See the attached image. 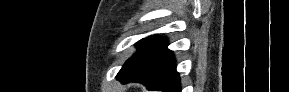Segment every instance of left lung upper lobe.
<instances>
[{
  "mask_svg": "<svg viewBox=\"0 0 289 92\" xmlns=\"http://www.w3.org/2000/svg\"><path fill=\"white\" fill-rule=\"evenodd\" d=\"M156 40V37H147L144 39H141L140 41L137 42V46L139 49L137 52L127 60V62L124 64L123 67L131 63L133 60H135L138 56H140L154 41Z\"/></svg>",
  "mask_w": 289,
  "mask_h": 92,
  "instance_id": "5c2ea615",
  "label": "left lung upper lobe"
}]
</instances>
